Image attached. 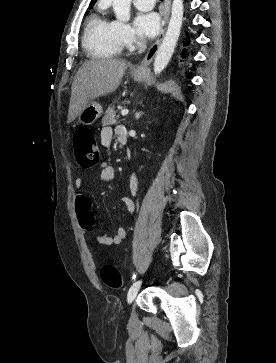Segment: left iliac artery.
<instances>
[{"label":"left iliac artery","instance_id":"obj_1","mask_svg":"<svg viewBox=\"0 0 276 363\" xmlns=\"http://www.w3.org/2000/svg\"><path fill=\"white\" fill-rule=\"evenodd\" d=\"M135 278H136V274L133 275V279H135Z\"/></svg>","mask_w":276,"mask_h":363}]
</instances>
